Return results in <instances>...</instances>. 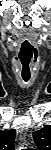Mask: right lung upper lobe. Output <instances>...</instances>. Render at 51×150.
<instances>
[{"mask_svg":"<svg viewBox=\"0 0 51 150\" xmlns=\"http://www.w3.org/2000/svg\"><path fill=\"white\" fill-rule=\"evenodd\" d=\"M15 130L0 131V150H14Z\"/></svg>","mask_w":51,"mask_h":150,"instance_id":"cb5924a9","label":"right lung upper lobe"}]
</instances>
